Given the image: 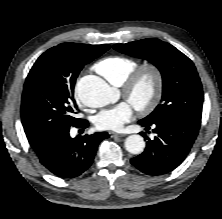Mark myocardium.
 <instances>
[{"label":"myocardium","instance_id":"f54148a6","mask_svg":"<svg viewBox=\"0 0 222 219\" xmlns=\"http://www.w3.org/2000/svg\"><path fill=\"white\" fill-rule=\"evenodd\" d=\"M147 75L152 81V92L149 99L142 104L133 101V91L139 80ZM164 76L162 70L153 63H146L136 67L122 83V92L124 97L141 114L152 112L160 102L163 93Z\"/></svg>","mask_w":222,"mask_h":219}]
</instances>
